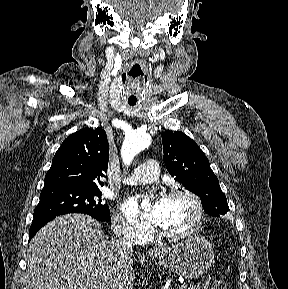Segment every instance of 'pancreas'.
<instances>
[{"mask_svg": "<svg viewBox=\"0 0 288 289\" xmlns=\"http://www.w3.org/2000/svg\"><path fill=\"white\" fill-rule=\"evenodd\" d=\"M210 284V276L200 280V282L191 285L188 289H208Z\"/></svg>", "mask_w": 288, "mask_h": 289, "instance_id": "1", "label": "pancreas"}]
</instances>
